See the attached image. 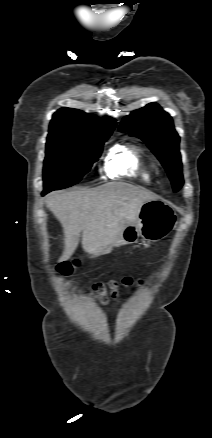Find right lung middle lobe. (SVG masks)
Here are the masks:
<instances>
[{"label":"right lung middle lobe","mask_w":212,"mask_h":438,"mask_svg":"<svg viewBox=\"0 0 212 438\" xmlns=\"http://www.w3.org/2000/svg\"><path fill=\"white\" fill-rule=\"evenodd\" d=\"M109 136H48L43 169L44 189L52 191L78 183L100 157L104 141Z\"/></svg>","instance_id":"obj_1"}]
</instances>
